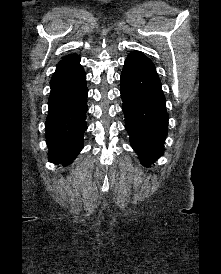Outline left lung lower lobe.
Masks as SVG:
<instances>
[{"label":"left lung lower lobe","instance_id":"obj_1","mask_svg":"<svg viewBox=\"0 0 221 274\" xmlns=\"http://www.w3.org/2000/svg\"><path fill=\"white\" fill-rule=\"evenodd\" d=\"M125 129L144 166L164 153L168 114L161 82L153 62L141 52L127 57L121 74Z\"/></svg>","mask_w":221,"mask_h":274}]
</instances>
